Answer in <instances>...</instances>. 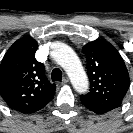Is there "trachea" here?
Segmentation results:
<instances>
[{
	"instance_id": "trachea-1",
	"label": "trachea",
	"mask_w": 133,
	"mask_h": 133,
	"mask_svg": "<svg viewBox=\"0 0 133 133\" xmlns=\"http://www.w3.org/2000/svg\"><path fill=\"white\" fill-rule=\"evenodd\" d=\"M52 81H61L62 80V71L59 68L53 69L51 73Z\"/></svg>"
}]
</instances>
